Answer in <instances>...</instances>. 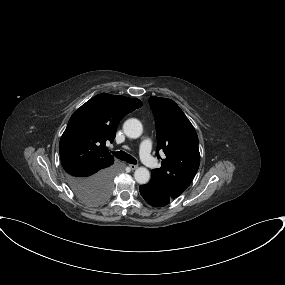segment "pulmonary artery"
I'll use <instances>...</instances> for the list:
<instances>
[{"mask_svg": "<svg viewBox=\"0 0 285 285\" xmlns=\"http://www.w3.org/2000/svg\"><path fill=\"white\" fill-rule=\"evenodd\" d=\"M150 150L151 142L148 139L143 140L139 146L140 158L147 167L153 168L156 166V161L151 156Z\"/></svg>", "mask_w": 285, "mask_h": 285, "instance_id": "pulmonary-artery-1", "label": "pulmonary artery"}]
</instances>
